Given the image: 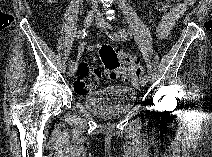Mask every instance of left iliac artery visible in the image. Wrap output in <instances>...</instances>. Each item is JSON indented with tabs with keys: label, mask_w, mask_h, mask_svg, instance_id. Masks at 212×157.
<instances>
[{
	"label": "left iliac artery",
	"mask_w": 212,
	"mask_h": 157,
	"mask_svg": "<svg viewBox=\"0 0 212 157\" xmlns=\"http://www.w3.org/2000/svg\"><path fill=\"white\" fill-rule=\"evenodd\" d=\"M128 37V32L125 29H120L114 34V38L116 40H122V39H127ZM146 82L151 81V78L148 74H144L142 77Z\"/></svg>",
	"instance_id": "1"
}]
</instances>
